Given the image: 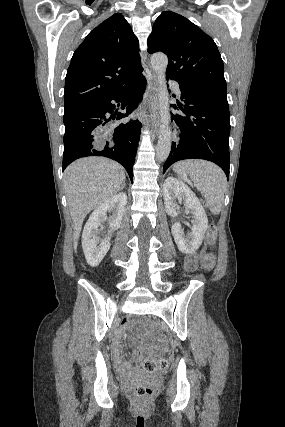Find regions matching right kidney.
Here are the masks:
<instances>
[{
	"mask_svg": "<svg viewBox=\"0 0 285 427\" xmlns=\"http://www.w3.org/2000/svg\"><path fill=\"white\" fill-rule=\"evenodd\" d=\"M126 204L127 195L119 193L98 206L86 222L82 234V247L85 258L92 267L98 266L108 252L111 245V232L120 227ZM107 212H112V216L109 218V235L99 240L98 228L107 219Z\"/></svg>",
	"mask_w": 285,
	"mask_h": 427,
	"instance_id": "obj_1",
	"label": "right kidney"
}]
</instances>
